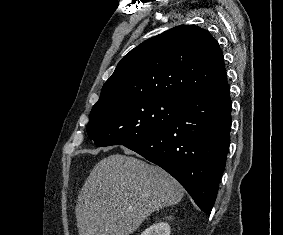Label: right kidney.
<instances>
[{
  "label": "right kidney",
  "mask_w": 283,
  "mask_h": 235,
  "mask_svg": "<svg viewBox=\"0 0 283 235\" xmlns=\"http://www.w3.org/2000/svg\"><path fill=\"white\" fill-rule=\"evenodd\" d=\"M141 235H170V225L167 222L153 224L143 231Z\"/></svg>",
  "instance_id": "right-kidney-1"
}]
</instances>
